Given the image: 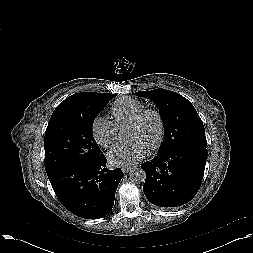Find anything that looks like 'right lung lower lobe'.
<instances>
[{
	"mask_svg": "<svg viewBox=\"0 0 253 253\" xmlns=\"http://www.w3.org/2000/svg\"><path fill=\"white\" fill-rule=\"evenodd\" d=\"M106 157L47 173L61 204L85 219H99L112 210L115 192L124 176L120 168H106Z\"/></svg>",
	"mask_w": 253,
	"mask_h": 253,
	"instance_id": "1",
	"label": "right lung lower lobe"
}]
</instances>
